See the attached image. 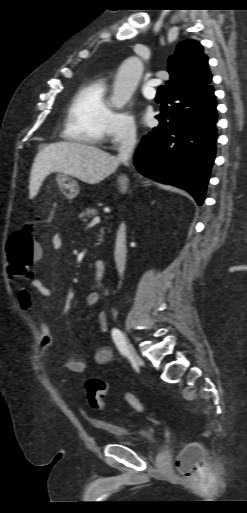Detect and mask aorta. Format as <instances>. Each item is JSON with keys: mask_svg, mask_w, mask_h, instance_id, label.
Wrapping results in <instances>:
<instances>
[{"mask_svg": "<svg viewBox=\"0 0 247 513\" xmlns=\"http://www.w3.org/2000/svg\"><path fill=\"white\" fill-rule=\"evenodd\" d=\"M143 70L142 61L138 57L127 58L120 66L114 83L111 104L121 109L130 100L140 80Z\"/></svg>", "mask_w": 247, "mask_h": 513, "instance_id": "1", "label": "aorta"}]
</instances>
